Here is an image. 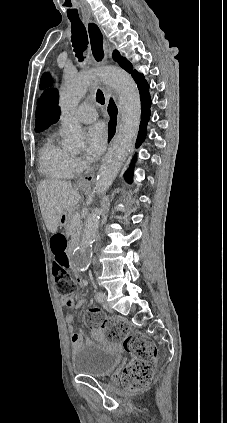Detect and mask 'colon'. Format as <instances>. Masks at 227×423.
Instances as JSON below:
<instances>
[{
    "instance_id": "obj_1",
    "label": "colon",
    "mask_w": 227,
    "mask_h": 423,
    "mask_svg": "<svg viewBox=\"0 0 227 423\" xmlns=\"http://www.w3.org/2000/svg\"><path fill=\"white\" fill-rule=\"evenodd\" d=\"M67 247L65 235L57 233L51 237L53 271L61 297L72 296L76 291L75 280L69 271L71 259ZM85 322L90 327L105 330L113 339H124V349L132 356V360L123 370V382L130 390H140L151 382L157 349L147 336L139 332L130 333L126 322L106 318L95 308L85 313Z\"/></svg>"
}]
</instances>
